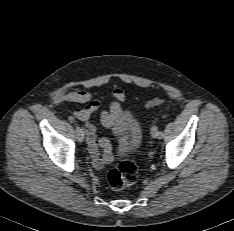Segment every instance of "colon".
Listing matches in <instances>:
<instances>
[{
	"instance_id": "5ec220e1",
	"label": "colon",
	"mask_w": 234,
	"mask_h": 231,
	"mask_svg": "<svg viewBox=\"0 0 234 231\" xmlns=\"http://www.w3.org/2000/svg\"><path fill=\"white\" fill-rule=\"evenodd\" d=\"M158 101H151L150 106H156ZM138 177V169L133 155L128 156L117 167L108 173V182L112 189L122 190L133 185Z\"/></svg>"
}]
</instances>
